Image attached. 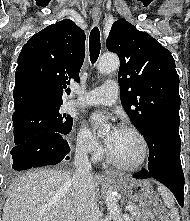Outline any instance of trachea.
I'll list each match as a JSON object with an SVG mask.
<instances>
[{"mask_svg":"<svg viewBox=\"0 0 190 221\" xmlns=\"http://www.w3.org/2000/svg\"><path fill=\"white\" fill-rule=\"evenodd\" d=\"M101 43H100V31L98 27H94L90 32L89 36V51H90V60L94 64L100 54Z\"/></svg>","mask_w":190,"mask_h":221,"instance_id":"3493384b","label":"trachea"}]
</instances>
